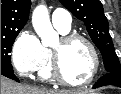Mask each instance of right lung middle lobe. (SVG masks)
Instances as JSON below:
<instances>
[{"label": "right lung middle lobe", "mask_w": 121, "mask_h": 94, "mask_svg": "<svg viewBox=\"0 0 121 94\" xmlns=\"http://www.w3.org/2000/svg\"><path fill=\"white\" fill-rule=\"evenodd\" d=\"M19 31L1 34V71L13 72L9 53Z\"/></svg>", "instance_id": "obj_1"}]
</instances>
